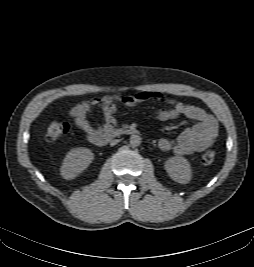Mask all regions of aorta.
<instances>
[{"label":"aorta","instance_id":"762f6f07","mask_svg":"<svg viewBox=\"0 0 254 267\" xmlns=\"http://www.w3.org/2000/svg\"><path fill=\"white\" fill-rule=\"evenodd\" d=\"M130 144L132 147H137L141 144V137L139 135H131Z\"/></svg>","mask_w":254,"mask_h":267}]
</instances>
